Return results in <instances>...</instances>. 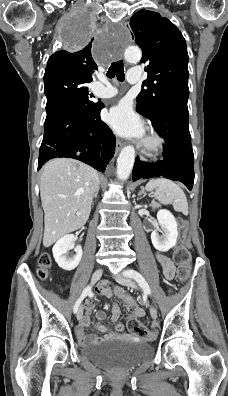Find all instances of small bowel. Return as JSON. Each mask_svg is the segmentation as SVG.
<instances>
[{"label":"small bowel","instance_id":"small-bowel-1","mask_svg":"<svg viewBox=\"0 0 228 396\" xmlns=\"http://www.w3.org/2000/svg\"><path fill=\"white\" fill-rule=\"evenodd\" d=\"M157 261L161 265L163 275L167 280H172L175 274V267L172 261L163 253H157L156 255ZM98 292L108 298H117L124 301L127 304L128 310L130 312L127 317V322L132 319H139L143 317L144 312L138 306L137 302L129 296L125 290L121 287H116L115 289H111L106 282L101 283L98 286ZM95 303L93 301H87L85 303V312L80 319V322L76 328V335L80 343L88 344V343H96L103 339L108 338H123V339H140L139 336H132L127 333H124L125 326L123 323H119L116 325L115 329H110L106 326L101 325L99 322L105 319V313L103 311L96 312V319L98 323L95 324V327L103 332L105 335L103 337L97 336H88L85 332V328L89 325V316L94 308ZM120 316V307L117 303L113 304V315L112 320L115 322L118 320Z\"/></svg>","mask_w":228,"mask_h":396}]
</instances>
